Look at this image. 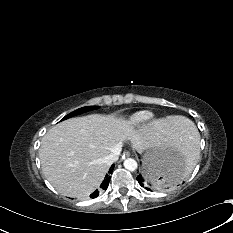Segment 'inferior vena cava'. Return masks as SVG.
<instances>
[{"instance_id":"inferior-vena-cava-1","label":"inferior vena cava","mask_w":233,"mask_h":233,"mask_svg":"<svg viewBox=\"0 0 233 233\" xmlns=\"http://www.w3.org/2000/svg\"><path fill=\"white\" fill-rule=\"evenodd\" d=\"M121 148H116L112 153L105 157V163L111 165L118 160Z\"/></svg>"}]
</instances>
